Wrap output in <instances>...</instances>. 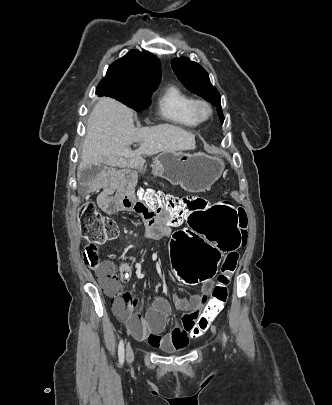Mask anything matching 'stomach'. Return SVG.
<instances>
[{"label": "stomach", "mask_w": 332, "mask_h": 405, "mask_svg": "<svg viewBox=\"0 0 332 405\" xmlns=\"http://www.w3.org/2000/svg\"><path fill=\"white\" fill-rule=\"evenodd\" d=\"M154 170L188 192L208 190L221 176L222 158L203 153L162 152L154 159Z\"/></svg>", "instance_id": "1"}]
</instances>
